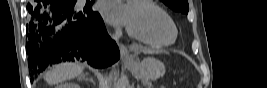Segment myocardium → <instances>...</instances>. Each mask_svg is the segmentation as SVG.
<instances>
[{"mask_svg":"<svg viewBox=\"0 0 267 88\" xmlns=\"http://www.w3.org/2000/svg\"><path fill=\"white\" fill-rule=\"evenodd\" d=\"M132 3L139 4V5H145L148 8L154 9L157 12H159L160 14L167 17L174 27L175 35H174L173 40L170 42H155V41H151L149 39H146V38L138 35L134 31H132L129 27H127V33L129 34V36H131L132 38L137 39V40H139L145 44L152 45V46H158V47L170 46V45L175 43V41L177 40V37H178V33H179L178 27H177L176 23L173 21V19L164 10H162L160 7L153 6L151 3L147 2L146 0H135V1H132Z\"/></svg>","mask_w":267,"mask_h":88,"instance_id":"1","label":"myocardium"}]
</instances>
